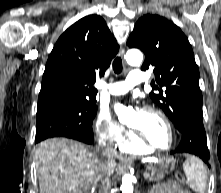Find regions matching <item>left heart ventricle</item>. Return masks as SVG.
I'll return each instance as SVG.
<instances>
[{"label": "left heart ventricle", "instance_id": "b2bd125f", "mask_svg": "<svg viewBox=\"0 0 221 193\" xmlns=\"http://www.w3.org/2000/svg\"><path fill=\"white\" fill-rule=\"evenodd\" d=\"M128 124L141 132L149 142L158 147H166L169 144L170 138L166 124L155 113L147 111L140 115L135 113Z\"/></svg>", "mask_w": 221, "mask_h": 193}]
</instances>
